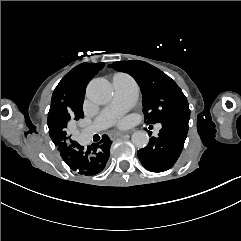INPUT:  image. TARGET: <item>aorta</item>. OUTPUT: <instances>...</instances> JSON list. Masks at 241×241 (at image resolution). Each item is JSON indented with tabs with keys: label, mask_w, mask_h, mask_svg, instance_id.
<instances>
[{
	"label": "aorta",
	"mask_w": 241,
	"mask_h": 241,
	"mask_svg": "<svg viewBox=\"0 0 241 241\" xmlns=\"http://www.w3.org/2000/svg\"><path fill=\"white\" fill-rule=\"evenodd\" d=\"M86 94L92 102L103 105L112 98V87L106 79L96 78L88 84ZM131 140L137 148H144L149 143V135L146 131H136Z\"/></svg>",
	"instance_id": "1"
}]
</instances>
